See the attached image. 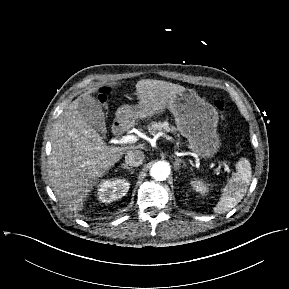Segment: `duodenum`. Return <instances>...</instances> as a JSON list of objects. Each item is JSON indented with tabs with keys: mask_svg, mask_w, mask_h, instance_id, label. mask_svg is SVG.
Listing matches in <instances>:
<instances>
[{
	"mask_svg": "<svg viewBox=\"0 0 289 289\" xmlns=\"http://www.w3.org/2000/svg\"><path fill=\"white\" fill-rule=\"evenodd\" d=\"M130 128V121L127 118H119L113 125V132L116 135H122Z\"/></svg>",
	"mask_w": 289,
	"mask_h": 289,
	"instance_id": "1",
	"label": "duodenum"
}]
</instances>
